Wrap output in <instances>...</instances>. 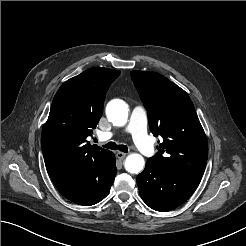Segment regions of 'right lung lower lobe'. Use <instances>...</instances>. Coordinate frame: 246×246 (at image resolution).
<instances>
[{
    "label": "right lung lower lobe",
    "mask_w": 246,
    "mask_h": 246,
    "mask_svg": "<svg viewBox=\"0 0 246 246\" xmlns=\"http://www.w3.org/2000/svg\"><path fill=\"white\" fill-rule=\"evenodd\" d=\"M115 156L79 163L51 174L59 192L72 202L90 206L100 202L110 191L116 176Z\"/></svg>",
    "instance_id": "1"
}]
</instances>
